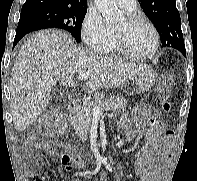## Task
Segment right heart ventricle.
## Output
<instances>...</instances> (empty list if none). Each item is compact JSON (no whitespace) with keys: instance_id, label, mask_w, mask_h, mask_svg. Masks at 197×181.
Instances as JSON below:
<instances>
[{"instance_id":"1","label":"right heart ventricle","mask_w":197,"mask_h":181,"mask_svg":"<svg viewBox=\"0 0 197 181\" xmlns=\"http://www.w3.org/2000/svg\"><path fill=\"white\" fill-rule=\"evenodd\" d=\"M107 55H119L120 53L118 52L115 42H114V37L110 45L107 47L105 51H103Z\"/></svg>"}]
</instances>
